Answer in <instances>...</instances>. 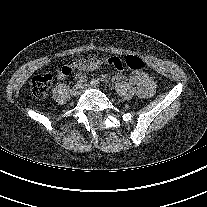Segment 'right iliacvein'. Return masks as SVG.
I'll list each match as a JSON object with an SVG mask.
<instances>
[{
	"label": "right iliac vein",
	"mask_w": 207,
	"mask_h": 207,
	"mask_svg": "<svg viewBox=\"0 0 207 207\" xmlns=\"http://www.w3.org/2000/svg\"><path fill=\"white\" fill-rule=\"evenodd\" d=\"M81 91H82V86L79 83L75 84L72 88V93L74 96H79L81 94Z\"/></svg>",
	"instance_id": "right-iliac-vein-1"
}]
</instances>
